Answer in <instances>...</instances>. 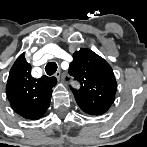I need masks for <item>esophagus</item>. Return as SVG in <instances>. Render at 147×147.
<instances>
[{
    "label": "esophagus",
    "instance_id": "obj_1",
    "mask_svg": "<svg viewBox=\"0 0 147 147\" xmlns=\"http://www.w3.org/2000/svg\"><path fill=\"white\" fill-rule=\"evenodd\" d=\"M55 77L57 78V80H60V78H61V71H57L55 73Z\"/></svg>",
    "mask_w": 147,
    "mask_h": 147
}]
</instances>
